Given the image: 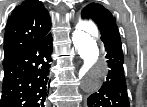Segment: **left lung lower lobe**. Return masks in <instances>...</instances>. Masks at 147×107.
Segmentation results:
<instances>
[{"instance_id":"obj_1","label":"left lung lower lobe","mask_w":147,"mask_h":107,"mask_svg":"<svg viewBox=\"0 0 147 107\" xmlns=\"http://www.w3.org/2000/svg\"><path fill=\"white\" fill-rule=\"evenodd\" d=\"M106 58L108 76L103 85L87 99L88 107H130L124 76V56L119 32L111 31L101 35Z\"/></svg>"}]
</instances>
